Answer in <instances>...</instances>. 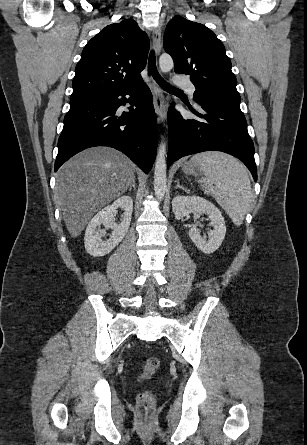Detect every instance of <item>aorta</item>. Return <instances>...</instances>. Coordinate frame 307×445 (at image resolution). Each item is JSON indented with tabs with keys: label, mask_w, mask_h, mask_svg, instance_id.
Returning a JSON list of instances; mask_svg holds the SVG:
<instances>
[{
	"label": "aorta",
	"mask_w": 307,
	"mask_h": 445,
	"mask_svg": "<svg viewBox=\"0 0 307 445\" xmlns=\"http://www.w3.org/2000/svg\"><path fill=\"white\" fill-rule=\"evenodd\" d=\"M159 66L162 72H169L173 66V58L167 52H163L159 58ZM166 144L161 142L156 158L155 170H154V190L158 198H163L167 190V178H166Z\"/></svg>",
	"instance_id": "1"
}]
</instances>
